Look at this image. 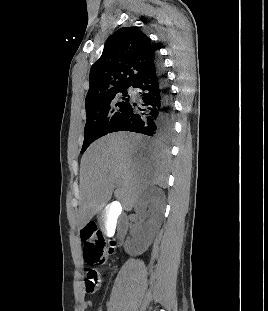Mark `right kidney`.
Masks as SVG:
<instances>
[{
  "instance_id": "1",
  "label": "right kidney",
  "mask_w": 268,
  "mask_h": 311,
  "mask_svg": "<svg viewBox=\"0 0 268 311\" xmlns=\"http://www.w3.org/2000/svg\"><path fill=\"white\" fill-rule=\"evenodd\" d=\"M135 211L144 216L134 239L126 241L125 250L129 254L140 255L151 245L158 232L165 212V194L158 187L146 189L135 205Z\"/></svg>"
}]
</instances>
